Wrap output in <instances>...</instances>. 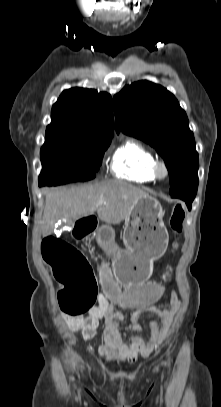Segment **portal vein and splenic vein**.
Listing matches in <instances>:
<instances>
[{
	"label": "portal vein and splenic vein",
	"instance_id": "portal-vein-and-splenic-vein-1",
	"mask_svg": "<svg viewBox=\"0 0 221 407\" xmlns=\"http://www.w3.org/2000/svg\"><path fill=\"white\" fill-rule=\"evenodd\" d=\"M103 203H104L103 200H100V201L98 202L99 205H102Z\"/></svg>",
	"mask_w": 221,
	"mask_h": 407
}]
</instances>
